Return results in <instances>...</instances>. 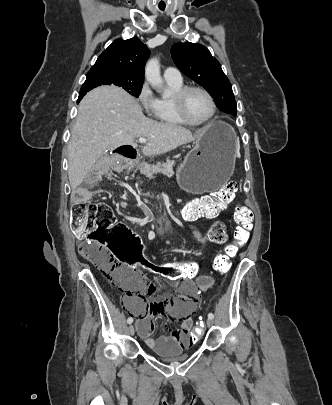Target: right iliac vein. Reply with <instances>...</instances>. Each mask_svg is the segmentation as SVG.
<instances>
[{"label": "right iliac vein", "mask_w": 332, "mask_h": 405, "mask_svg": "<svg viewBox=\"0 0 332 405\" xmlns=\"http://www.w3.org/2000/svg\"><path fill=\"white\" fill-rule=\"evenodd\" d=\"M134 326L133 325H129V327H128V333L130 334V335H134Z\"/></svg>", "instance_id": "right-iliac-vein-1"}]
</instances>
